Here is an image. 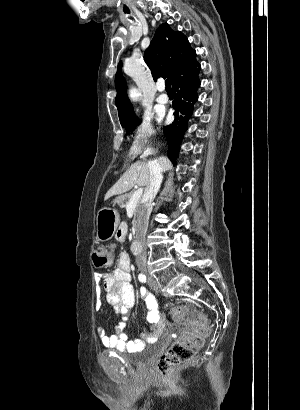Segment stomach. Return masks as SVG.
Listing matches in <instances>:
<instances>
[{
	"mask_svg": "<svg viewBox=\"0 0 300 410\" xmlns=\"http://www.w3.org/2000/svg\"><path fill=\"white\" fill-rule=\"evenodd\" d=\"M120 219L118 212L111 207H103L97 214V239L107 241L115 234Z\"/></svg>",
	"mask_w": 300,
	"mask_h": 410,
	"instance_id": "1",
	"label": "stomach"
}]
</instances>
